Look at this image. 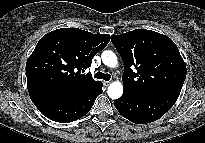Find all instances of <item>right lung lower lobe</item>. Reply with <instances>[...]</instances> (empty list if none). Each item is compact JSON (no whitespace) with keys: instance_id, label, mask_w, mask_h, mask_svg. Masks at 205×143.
<instances>
[{"instance_id":"1","label":"right lung lower lobe","mask_w":205,"mask_h":143,"mask_svg":"<svg viewBox=\"0 0 205 143\" xmlns=\"http://www.w3.org/2000/svg\"><path fill=\"white\" fill-rule=\"evenodd\" d=\"M102 93V83L88 87L70 96L30 95L35 106L49 119L60 122H73L86 115L95 99Z\"/></svg>"}]
</instances>
